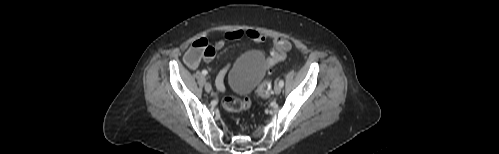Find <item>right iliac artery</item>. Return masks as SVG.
<instances>
[{
  "label": "right iliac artery",
  "instance_id": "obj_1",
  "mask_svg": "<svg viewBox=\"0 0 499 154\" xmlns=\"http://www.w3.org/2000/svg\"><path fill=\"white\" fill-rule=\"evenodd\" d=\"M207 73H208V72H207L206 70H203V71H202V74H203V75H207Z\"/></svg>",
  "mask_w": 499,
  "mask_h": 154
}]
</instances>
